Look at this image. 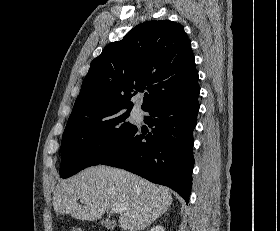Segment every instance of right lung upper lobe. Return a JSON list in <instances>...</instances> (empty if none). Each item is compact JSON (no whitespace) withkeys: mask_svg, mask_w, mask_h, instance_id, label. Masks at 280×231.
<instances>
[{"mask_svg":"<svg viewBox=\"0 0 280 231\" xmlns=\"http://www.w3.org/2000/svg\"><path fill=\"white\" fill-rule=\"evenodd\" d=\"M198 87L195 57L183 26L170 20L141 23L92 61L69 120L131 111L130 99L144 89L149 92L141 106L145 111Z\"/></svg>","mask_w":280,"mask_h":231,"instance_id":"1","label":"right lung upper lobe"}]
</instances>
